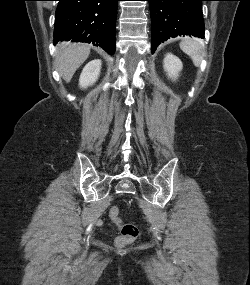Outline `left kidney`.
Instances as JSON below:
<instances>
[{
  "mask_svg": "<svg viewBox=\"0 0 250 285\" xmlns=\"http://www.w3.org/2000/svg\"><path fill=\"white\" fill-rule=\"evenodd\" d=\"M164 70L167 72V75L172 80H176L179 76V72L182 70V62L175 55L168 53L164 58Z\"/></svg>",
  "mask_w": 250,
  "mask_h": 285,
  "instance_id": "obj_1",
  "label": "left kidney"
}]
</instances>
